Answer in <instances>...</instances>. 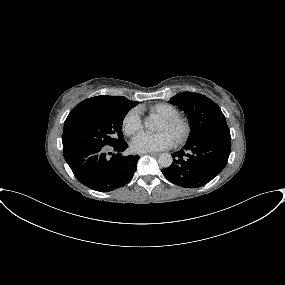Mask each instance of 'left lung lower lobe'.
I'll list each match as a JSON object with an SVG mask.
<instances>
[{
  "label": "left lung lower lobe",
  "mask_w": 285,
  "mask_h": 285,
  "mask_svg": "<svg viewBox=\"0 0 285 285\" xmlns=\"http://www.w3.org/2000/svg\"><path fill=\"white\" fill-rule=\"evenodd\" d=\"M230 143V135H200L189 140L183 149L174 153L173 163L162 169V173L169 181L181 187L204 186L226 166Z\"/></svg>",
  "instance_id": "left-lung-lower-lobe-1"
}]
</instances>
